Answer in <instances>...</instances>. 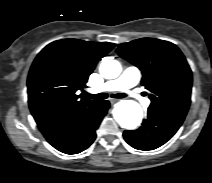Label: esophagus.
<instances>
[{
	"label": "esophagus",
	"mask_w": 212,
	"mask_h": 183,
	"mask_svg": "<svg viewBox=\"0 0 212 183\" xmlns=\"http://www.w3.org/2000/svg\"><path fill=\"white\" fill-rule=\"evenodd\" d=\"M117 101H119V99H110V103H111V104H114V103H116Z\"/></svg>",
	"instance_id": "1"
}]
</instances>
